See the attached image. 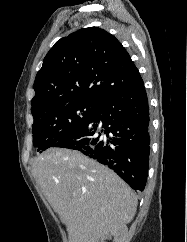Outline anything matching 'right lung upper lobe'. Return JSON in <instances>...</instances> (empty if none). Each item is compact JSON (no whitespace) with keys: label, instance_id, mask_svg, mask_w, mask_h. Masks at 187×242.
I'll use <instances>...</instances> for the list:
<instances>
[{"label":"right lung upper lobe","instance_id":"cb5924a9","mask_svg":"<svg viewBox=\"0 0 187 242\" xmlns=\"http://www.w3.org/2000/svg\"><path fill=\"white\" fill-rule=\"evenodd\" d=\"M142 84L131 57L113 35L83 28L58 40L47 53L35 78L31 112L36 117L72 102L99 105Z\"/></svg>","mask_w":187,"mask_h":242}]
</instances>
